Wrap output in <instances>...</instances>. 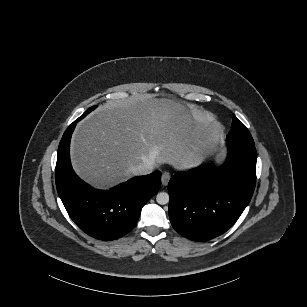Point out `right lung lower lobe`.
I'll return each instance as SVG.
<instances>
[{"label":"right lung lower lobe","mask_w":307,"mask_h":307,"mask_svg":"<svg viewBox=\"0 0 307 307\" xmlns=\"http://www.w3.org/2000/svg\"><path fill=\"white\" fill-rule=\"evenodd\" d=\"M76 119L65 131L58 148L55 170L58 194L71 219L88 235L100 240H114L136 225L141 208L161 186L160 171L139 176L111 190H96L73 171L69 147Z\"/></svg>","instance_id":"right-lung-lower-lobe-1"}]
</instances>
